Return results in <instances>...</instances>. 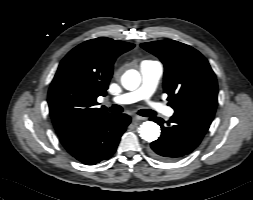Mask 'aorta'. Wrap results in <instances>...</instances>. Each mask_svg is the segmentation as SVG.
<instances>
[{
  "instance_id": "obj_1",
  "label": "aorta",
  "mask_w": 253,
  "mask_h": 200,
  "mask_svg": "<svg viewBox=\"0 0 253 200\" xmlns=\"http://www.w3.org/2000/svg\"><path fill=\"white\" fill-rule=\"evenodd\" d=\"M139 83L140 75L136 70H129L122 76V85L128 90L136 89ZM160 132V127L152 121L143 122L139 128L141 138L148 142L158 139Z\"/></svg>"
}]
</instances>
